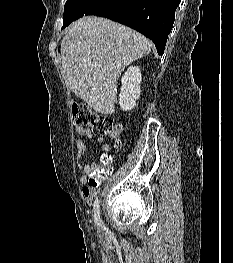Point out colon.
Here are the masks:
<instances>
[{
    "label": "colon",
    "instance_id": "1",
    "mask_svg": "<svg viewBox=\"0 0 233 263\" xmlns=\"http://www.w3.org/2000/svg\"><path fill=\"white\" fill-rule=\"evenodd\" d=\"M73 120L78 127H89L97 135H110L115 140V146L121 144L120 136L123 132L122 125L116 123L112 118L99 116L83 105L73 106ZM111 170V158L103 155L95 164L92 173L88 177L90 189H99V180H108Z\"/></svg>",
    "mask_w": 233,
    "mask_h": 263
}]
</instances>
